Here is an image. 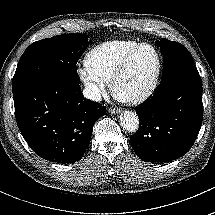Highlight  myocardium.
Listing matches in <instances>:
<instances>
[{
  "mask_svg": "<svg viewBox=\"0 0 215 215\" xmlns=\"http://www.w3.org/2000/svg\"><path fill=\"white\" fill-rule=\"evenodd\" d=\"M144 46H149L151 47L155 54H156V66L153 71V73L150 75L148 78L147 83L145 84L144 88L134 97L131 98H122L119 97L116 93V87L120 79L124 76V74L127 72L130 63L136 54V52ZM161 68H162V59H161V54L157 47L153 45L152 43L149 42H141L136 44L134 47H132L124 56L122 61L120 62L119 66L117 67L116 71L114 72L111 80H110V91L112 96L119 102L124 103L126 105H132L136 106L139 105L143 102H145L152 94L154 91L156 84L158 82V79L160 77L161 73Z\"/></svg>",
  "mask_w": 215,
  "mask_h": 215,
  "instance_id": "myocardium-1",
  "label": "myocardium"
}]
</instances>
